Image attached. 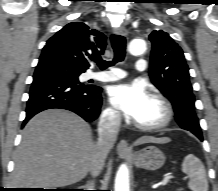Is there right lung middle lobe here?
Here are the masks:
<instances>
[{
  "label": "right lung middle lobe",
  "instance_id": "1",
  "mask_svg": "<svg viewBox=\"0 0 218 191\" xmlns=\"http://www.w3.org/2000/svg\"><path fill=\"white\" fill-rule=\"evenodd\" d=\"M38 66H56L66 72L69 78L74 81L76 84H79L78 76L85 72L80 69H77L70 64L50 55L41 56L39 59Z\"/></svg>",
  "mask_w": 218,
  "mask_h": 191
}]
</instances>
